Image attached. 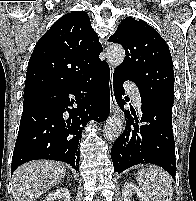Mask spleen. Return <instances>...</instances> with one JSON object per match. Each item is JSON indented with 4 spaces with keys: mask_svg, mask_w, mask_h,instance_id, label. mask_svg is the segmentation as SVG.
Masks as SVG:
<instances>
[{
    "mask_svg": "<svg viewBox=\"0 0 196 201\" xmlns=\"http://www.w3.org/2000/svg\"><path fill=\"white\" fill-rule=\"evenodd\" d=\"M137 181L151 201H171L173 196L170 177L154 168L141 169Z\"/></svg>",
    "mask_w": 196,
    "mask_h": 201,
    "instance_id": "spleen-1",
    "label": "spleen"
}]
</instances>
